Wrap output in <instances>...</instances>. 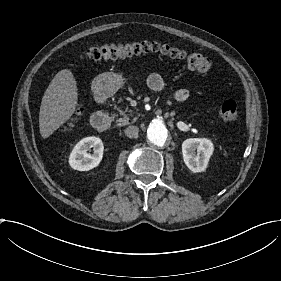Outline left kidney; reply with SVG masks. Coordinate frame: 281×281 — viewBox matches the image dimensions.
Here are the masks:
<instances>
[{"label":"left kidney","mask_w":281,"mask_h":281,"mask_svg":"<svg viewBox=\"0 0 281 281\" xmlns=\"http://www.w3.org/2000/svg\"><path fill=\"white\" fill-rule=\"evenodd\" d=\"M212 151V144L205 139L190 138L182 144L185 165L193 173L205 170Z\"/></svg>","instance_id":"left-kidney-1"}]
</instances>
